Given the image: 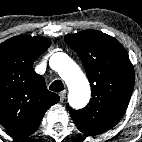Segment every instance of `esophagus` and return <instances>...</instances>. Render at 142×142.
<instances>
[{
    "label": "esophagus",
    "instance_id": "esophagus-1",
    "mask_svg": "<svg viewBox=\"0 0 142 142\" xmlns=\"http://www.w3.org/2000/svg\"><path fill=\"white\" fill-rule=\"evenodd\" d=\"M59 97H60V101L63 102L65 100V97H66V90L61 91L59 93Z\"/></svg>",
    "mask_w": 142,
    "mask_h": 142
}]
</instances>
